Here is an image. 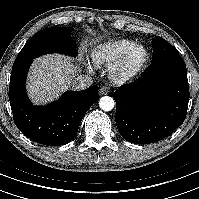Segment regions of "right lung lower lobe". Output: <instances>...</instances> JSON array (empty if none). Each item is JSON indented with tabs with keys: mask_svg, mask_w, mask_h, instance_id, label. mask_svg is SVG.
I'll use <instances>...</instances> for the list:
<instances>
[{
	"mask_svg": "<svg viewBox=\"0 0 199 199\" xmlns=\"http://www.w3.org/2000/svg\"><path fill=\"white\" fill-rule=\"evenodd\" d=\"M31 61L13 66L9 100L17 128L31 140L60 146L76 136L87 110L99 99L98 86L83 91H68L52 104L33 106L29 101L25 82Z\"/></svg>",
	"mask_w": 199,
	"mask_h": 199,
	"instance_id": "right-lung-lower-lobe-1",
	"label": "right lung lower lobe"
}]
</instances>
